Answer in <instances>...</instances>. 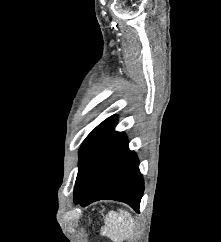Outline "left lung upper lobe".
<instances>
[{
	"label": "left lung upper lobe",
	"mask_w": 221,
	"mask_h": 242,
	"mask_svg": "<svg viewBox=\"0 0 221 242\" xmlns=\"http://www.w3.org/2000/svg\"><path fill=\"white\" fill-rule=\"evenodd\" d=\"M116 116H111L98 125L84 140L80 148L79 166L92 148L116 125Z\"/></svg>",
	"instance_id": "5c2ea615"
}]
</instances>
